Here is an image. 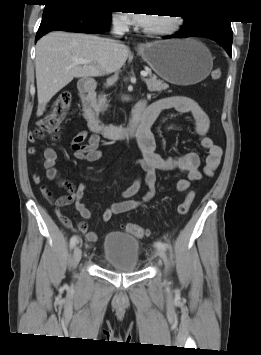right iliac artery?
<instances>
[{
  "label": "right iliac artery",
  "instance_id": "obj_1",
  "mask_svg": "<svg viewBox=\"0 0 261 355\" xmlns=\"http://www.w3.org/2000/svg\"><path fill=\"white\" fill-rule=\"evenodd\" d=\"M78 242V236L74 235L71 239H70V247L74 248V246L76 245V243Z\"/></svg>",
  "mask_w": 261,
  "mask_h": 355
}]
</instances>
